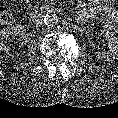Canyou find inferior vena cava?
<instances>
[{"label": "inferior vena cava", "instance_id": "1", "mask_svg": "<svg viewBox=\"0 0 118 118\" xmlns=\"http://www.w3.org/2000/svg\"><path fill=\"white\" fill-rule=\"evenodd\" d=\"M34 23L36 24V26L41 25L43 23V18L35 19Z\"/></svg>", "mask_w": 118, "mask_h": 118}]
</instances>
